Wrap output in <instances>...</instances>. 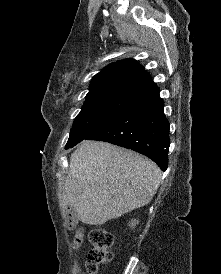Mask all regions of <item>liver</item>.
I'll return each instance as SVG.
<instances>
[{"instance_id": "obj_1", "label": "liver", "mask_w": 221, "mask_h": 274, "mask_svg": "<svg viewBox=\"0 0 221 274\" xmlns=\"http://www.w3.org/2000/svg\"><path fill=\"white\" fill-rule=\"evenodd\" d=\"M160 168L148 158L106 142L83 141L71 155L59 197L78 219L101 225L147 205L158 190Z\"/></svg>"}]
</instances>
